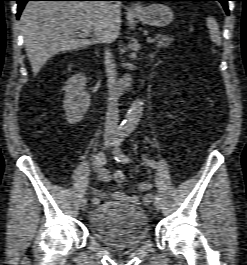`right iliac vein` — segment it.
Wrapping results in <instances>:
<instances>
[{"mask_svg": "<svg viewBox=\"0 0 247 265\" xmlns=\"http://www.w3.org/2000/svg\"><path fill=\"white\" fill-rule=\"evenodd\" d=\"M112 144H113L112 139H110V138H106L105 139V141H104L105 147H110ZM86 207H87V199L86 198H83L81 200V202H80V208L82 210H85Z\"/></svg>", "mask_w": 247, "mask_h": 265, "instance_id": "63e3f726", "label": "right iliac vein"}]
</instances>
